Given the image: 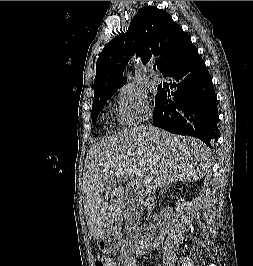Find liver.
Here are the masks:
<instances>
[{
  "instance_id": "1",
  "label": "liver",
  "mask_w": 253,
  "mask_h": 266,
  "mask_svg": "<svg viewBox=\"0 0 253 266\" xmlns=\"http://www.w3.org/2000/svg\"><path fill=\"white\" fill-rule=\"evenodd\" d=\"M210 151L198 139L136 126L93 144L86 156L82 192L89 232L100 239L125 214L122 178L148 188L157 183L200 180ZM187 177V178H186ZM107 195H111L108 199Z\"/></svg>"
}]
</instances>
